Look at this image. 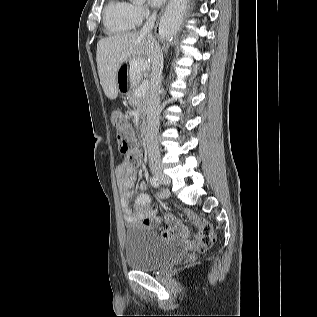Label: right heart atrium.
<instances>
[{
  "instance_id": "obj_1",
  "label": "right heart atrium",
  "mask_w": 317,
  "mask_h": 317,
  "mask_svg": "<svg viewBox=\"0 0 317 317\" xmlns=\"http://www.w3.org/2000/svg\"><path fill=\"white\" fill-rule=\"evenodd\" d=\"M131 11L136 26L141 24L150 15V9L146 5L140 3L131 4Z\"/></svg>"
}]
</instances>
